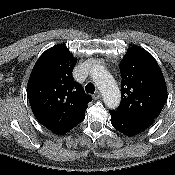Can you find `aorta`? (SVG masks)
Returning a JSON list of instances; mask_svg holds the SVG:
<instances>
[{"label":"aorta","instance_id":"1","mask_svg":"<svg viewBox=\"0 0 175 175\" xmlns=\"http://www.w3.org/2000/svg\"><path fill=\"white\" fill-rule=\"evenodd\" d=\"M90 75L101 91L105 105L110 109L117 108L120 103V90L113 76L102 65H95Z\"/></svg>","mask_w":175,"mask_h":175}]
</instances>
